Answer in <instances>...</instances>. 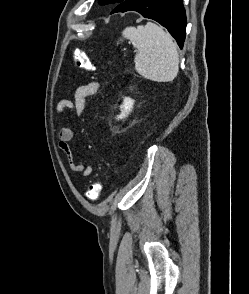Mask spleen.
<instances>
[{
	"instance_id": "3e777b00",
	"label": "spleen",
	"mask_w": 249,
	"mask_h": 294,
	"mask_svg": "<svg viewBox=\"0 0 249 294\" xmlns=\"http://www.w3.org/2000/svg\"><path fill=\"white\" fill-rule=\"evenodd\" d=\"M123 38L129 39L137 50L134 62L136 71L144 78L169 82L179 71V55L171 35L158 25L147 22L145 26L126 27Z\"/></svg>"
}]
</instances>
